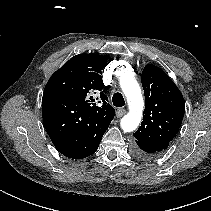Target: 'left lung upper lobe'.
Returning a JSON list of instances; mask_svg holds the SVG:
<instances>
[{
	"label": "left lung upper lobe",
	"mask_w": 211,
	"mask_h": 211,
	"mask_svg": "<svg viewBox=\"0 0 211 211\" xmlns=\"http://www.w3.org/2000/svg\"><path fill=\"white\" fill-rule=\"evenodd\" d=\"M145 110L136 144L160 153L177 134L185 112L184 98L168 75L159 67L146 65L141 75Z\"/></svg>",
	"instance_id": "obj_1"
}]
</instances>
